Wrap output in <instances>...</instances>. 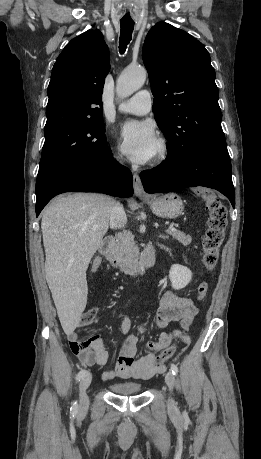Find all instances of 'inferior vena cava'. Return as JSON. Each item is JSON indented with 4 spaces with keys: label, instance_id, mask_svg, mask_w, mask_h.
Segmentation results:
<instances>
[{
    "label": "inferior vena cava",
    "instance_id": "inferior-vena-cava-1",
    "mask_svg": "<svg viewBox=\"0 0 261 459\" xmlns=\"http://www.w3.org/2000/svg\"><path fill=\"white\" fill-rule=\"evenodd\" d=\"M127 222L123 205L115 202L110 213L111 228H122Z\"/></svg>",
    "mask_w": 261,
    "mask_h": 459
}]
</instances>
